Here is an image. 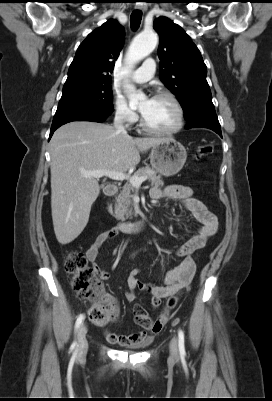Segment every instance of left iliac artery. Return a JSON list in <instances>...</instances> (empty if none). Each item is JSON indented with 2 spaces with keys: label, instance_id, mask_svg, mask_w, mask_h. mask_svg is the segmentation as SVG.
I'll return each instance as SVG.
<instances>
[{
  "label": "left iliac artery",
  "instance_id": "1",
  "mask_svg": "<svg viewBox=\"0 0 272 401\" xmlns=\"http://www.w3.org/2000/svg\"><path fill=\"white\" fill-rule=\"evenodd\" d=\"M178 337H179V342H178L179 351L181 354H185L184 332L181 329H179L178 331Z\"/></svg>",
  "mask_w": 272,
  "mask_h": 401
}]
</instances>
